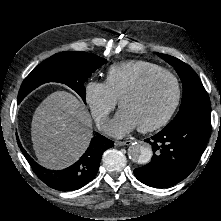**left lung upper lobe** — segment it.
<instances>
[{"mask_svg": "<svg viewBox=\"0 0 221 221\" xmlns=\"http://www.w3.org/2000/svg\"><path fill=\"white\" fill-rule=\"evenodd\" d=\"M157 55L175 67L183 83V96L179 112L164 129H172L189 119L211 121L209 96L195 71L175 57L162 53H157Z\"/></svg>", "mask_w": 221, "mask_h": 221, "instance_id": "obj_1", "label": "left lung upper lobe"}]
</instances>
